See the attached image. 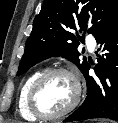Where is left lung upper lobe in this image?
<instances>
[{
	"label": "left lung upper lobe",
	"instance_id": "5c2ea615",
	"mask_svg": "<svg viewBox=\"0 0 118 123\" xmlns=\"http://www.w3.org/2000/svg\"><path fill=\"white\" fill-rule=\"evenodd\" d=\"M117 17L118 0H46L33 21L17 75L51 56L69 59L83 73L88 62L79 59L76 30L96 38Z\"/></svg>",
	"mask_w": 118,
	"mask_h": 123
}]
</instances>
